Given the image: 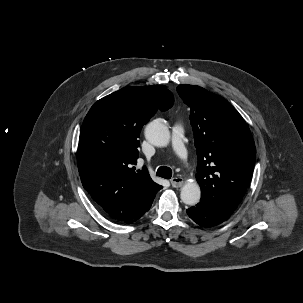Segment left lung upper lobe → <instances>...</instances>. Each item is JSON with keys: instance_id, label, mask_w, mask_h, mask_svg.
<instances>
[{"instance_id": "obj_1", "label": "left lung upper lobe", "mask_w": 303, "mask_h": 303, "mask_svg": "<svg viewBox=\"0 0 303 303\" xmlns=\"http://www.w3.org/2000/svg\"><path fill=\"white\" fill-rule=\"evenodd\" d=\"M178 94L190 109L201 199L233 213L251 181L256 150L251 132L223 97L194 85H179Z\"/></svg>"}]
</instances>
